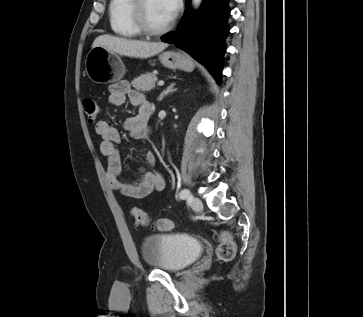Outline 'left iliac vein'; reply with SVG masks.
Listing matches in <instances>:
<instances>
[{
    "label": "left iliac vein",
    "instance_id": "4c4485c4",
    "mask_svg": "<svg viewBox=\"0 0 363 317\" xmlns=\"http://www.w3.org/2000/svg\"><path fill=\"white\" fill-rule=\"evenodd\" d=\"M188 201L192 209L196 212H200L203 208L202 201L198 197H193L192 195L188 197Z\"/></svg>",
    "mask_w": 363,
    "mask_h": 317
}]
</instances>
